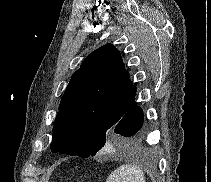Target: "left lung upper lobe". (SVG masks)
I'll list each match as a JSON object with an SVG mask.
<instances>
[{
  "instance_id": "5c2ea615",
  "label": "left lung upper lobe",
  "mask_w": 211,
  "mask_h": 182,
  "mask_svg": "<svg viewBox=\"0 0 211 182\" xmlns=\"http://www.w3.org/2000/svg\"><path fill=\"white\" fill-rule=\"evenodd\" d=\"M137 88L120 52L106 44L93 51L71 76L54 122L51 150L94 156L132 106Z\"/></svg>"
}]
</instances>
